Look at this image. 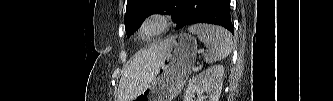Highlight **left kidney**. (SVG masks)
Returning a JSON list of instances; mask_svg holds the SVG:
<instances>
[{
    "mask_svg": "<svg viewBox=\"0 0 333 101\" xmlns=\"http://www.w3.org/2000/svg\"><path fill=\"white\" fill-rule=\"evenodd\" d=\"M224 67L223 65H213L196 75L189 83L184 95V101H219L223 84ZM207 93V97L203 93Z\"/></svg>",
    "mask_w": 333,
    "mask_h": 101,
    "instance_id": "1",
    "label": "left kidney"
}]
</instances>
